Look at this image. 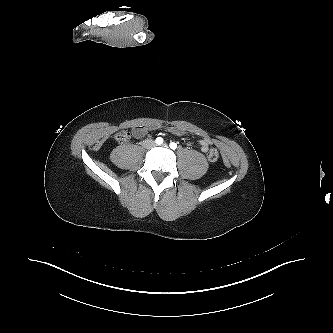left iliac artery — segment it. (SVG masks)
<instances>
[{
  "mask_svg": "<svg viewBox=\"0 0 333 333\" xmlns=\"http://www.w3.org/2000/svg\"><path fill=\"white\" fill-rule=\"evenodd\" d=\"M169 146L173 150H175L177 148V144L175 142H171Z\"/></svg>",
  "mask_w": 333,
  "mask_h": 333,
  "instance_id": "left-iliac-artery-1",
  "label": "left iliac artery"
}]
</instances>
